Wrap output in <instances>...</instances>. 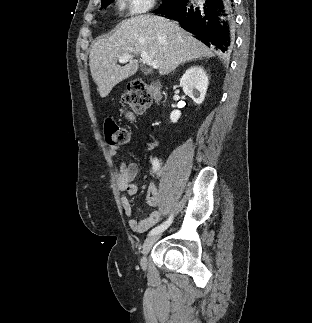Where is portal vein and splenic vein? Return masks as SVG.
I'll use <instances>...</instances> for the list:
<instances>
[{
  "mask_svg": "<svg viewBox=\"0 0 312 323\" xmlns=\"http://www.w3.org/2000/svg\"><path fill=\"white\" fill-rule=\"evenodd\" d=\"M140 56L142 58V60H144V62H146V64H148V66H152V68H154V70H157V68H159L158 66V62H153V60H151V58H149L148 54H146V52H140ZM130 60V56H121V58H118V62H120V64H126V62H129Z\"/></svg>",
  "mask_w": 312,
  "mask_h": 323,
  "instance_id": "obj_1",
  "label": "portal vein and splenic vein"
}]
</instances>
